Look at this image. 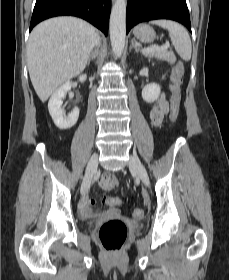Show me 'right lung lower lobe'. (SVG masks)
I'll return each instance as SVG.
<instances>
[{"instance_id": "obj_1", "label": "right lung lower lobe", "mask_w": 229, "mask_h": 280, "mask_svg": "<svg viewBox=\"0 0 229 280\" xmlns=\"http://www.w3.org/2000/svg\"><path fill=\"white\" fill-rule=\"evenodd\" d=\"M111 0H36L30 30L39 22L62 15L83 18L108 34Z\"/></svg>"}]
</instances>
